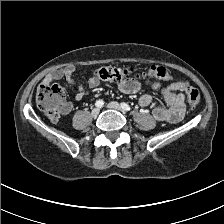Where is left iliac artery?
<instances>
[{"label":"left iliac artery","mask_w":224,"mask_h":224,"mask_svg":"<svg viewBox=\"0 0 224 224\" xmlns=\"http://www.w3.org/2000/svg\"><path fill=\"white\" fill-rule=\"evenodd\" d=\"M120 107L125 111H130L131 107L127 103H121Z\"/></svg>","instance_id":"left-iliac-artery-1"}]
</instances>
